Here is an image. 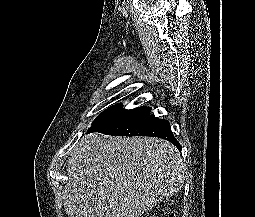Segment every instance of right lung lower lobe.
I'll return each mask as SVG.
<instances>
[{"mask_svg":"<svg viewBox=\"0 0 255 217\" xmlns=\"http://www.w3.org/2000/svg\"><path fill=\"white\" fill-rule=\"evenodd\" d=\"M150 107H138L131 110L117 109L95 121L90 132H100L106 135L150 136L165 139L179 150L181 145L173 136L170 123L150 115Z\"/></svg>","mask_w":255,"mask_h":217,"instance_id":"right-lung-lower-lobe-1","label":"right lung lower lobe"}]
</instances>
